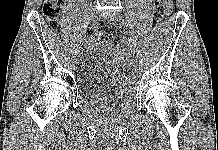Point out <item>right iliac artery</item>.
Instances as JSON below:
<instances>
[{
  "instance_id": "obj_1",
  "label": "right iliac artery",
  "mask_w": 218,
  "mask_h": 150,
  "mask_svg": "<svg viewBox=\"0 0 218 150\" xmlns=\"http://www.w3.org/2000/svg\"><path fill=\"white\" fill-rule=\"evenodd\" d=\"M95 24H96V23H93L92 26H89V27H88L89 35L86 36V38L84 39V41H81V42H80V45L84 44L85 42L87 43L88 40L94 38L93 29L96 28Z\"/></svg>"
}]
</instances>
